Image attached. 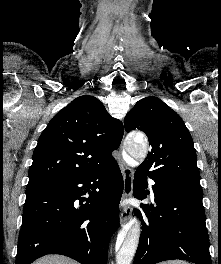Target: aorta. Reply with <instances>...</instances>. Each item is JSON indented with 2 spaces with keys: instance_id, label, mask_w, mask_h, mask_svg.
I'll use <instances>...</instances> for the list:
<instances>
[{
  "instance_id": "aorta-1",
  "label": "aorta",
  "mask_w": 221,
  "mask_h": 264,
  "mask_svg": "<svg viewBox=\"0 0 221 264\" xmlns=\"http://www.w3.org/2000/svg\"><path fill=\"white\" fill-rule=\"evenodd\" d=\"M127 153L138 161H143L148 152V142L144 136L130 135L125 143ZM141 234V224L137 219L130 221L118 235L116 241V263L131 264L136 253Z\"/></svg>"
}]
</instances>
